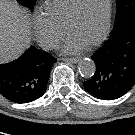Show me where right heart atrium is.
I'll list each match as a JSON object with an SVG mask.
<instances>
[{"label":"right heart atrium","instance_id":"d8ad5b80","mask_svg":"<svg viewBox=\"0 0 135 135\" xmlns=\"http://www.w3.org/2000/svg\"><path fill=\"white\" fill-rule=\"evenodd\" d=\"M34 34L45 48H54L64 35L62 28L53 23L45 14L37 15L33 20Z\"/></svg>","mask_w":135,"mask_h":135}]
</instances>
